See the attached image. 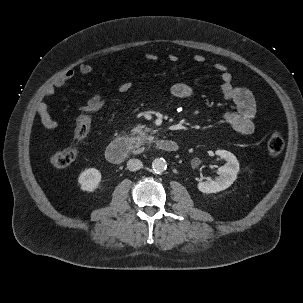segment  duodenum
<instances>
[{
    "mask_svg": "<svg viewBox=\"0 0 303 303\" xmlns=\"http://www.w3.org/2000/svg\"><path fill=\"white\" fill-rule=\"evenodd\" d=\"M156 148L167 153H174L178 150V144L170 139H158ZM130 151V139L128 137H118L114 139L106 149V158L111 163H121Z\"/></svg>",
    "mask_w": 303,
    "mask_h": 303,
    "instance_id": "duodenum-1",
    "label": "duodenum"
}]
</instances>
